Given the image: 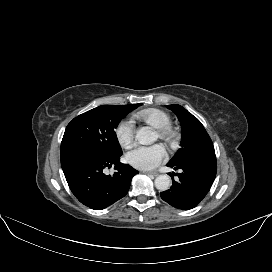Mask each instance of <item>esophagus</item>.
Segmentation results:
<instances>
[{"label": "esophagus", "mask_w": 272, "mask_h": 272, "mask_svg": "<svg viewBox=\"0 0 272 272\" xmlns=\"http://www.w3.org/2000/svg\"><path fill=\"white\" fill-rule=\"evenodd\" d=\"M147 175H152V176H158L159 173L158 172H144Z\"/></svg>", "instance_id": "1"}]
</instances>
